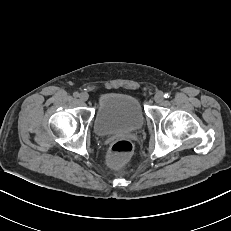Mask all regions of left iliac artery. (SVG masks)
Here are the masks:
<instances>
[{
	"instance_id": "left-iliac-artery-1",
	"label": "left iliac artery",
	"mask_w": 231,
	"mask_h": 231,
	"mask_svg": "<svg viewBox=\"0 0 231 231\" xmlns=\"http://www.w3.org/2000/svg\"><path fill=\"white\" fill-rule=\"evenodd\" d=\"M164 97H165V98H169V97H170V93H165V94H164Z\"/></svg>"
}]
</instances>
